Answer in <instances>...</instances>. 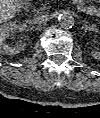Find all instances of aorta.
I'll use <instances>...</instances> for the list:
<instances>
[{
	"label": "aorta",
	"mask_w": 100,
	"mask_h": 118,
	"mask_svg": "<svg viewBox=\"0 0 100 118\" xmlns=\"http://www.w3.org/2000/svg\"><path fill=\"white\" fill-rule=\"evenodd\" d=\"M59 24L62 28H65V29H69V28H72L74 26V23H75V19L74 17L65 12V13H62L60 16H59Z\"/></svg>",
	"instance_id": "1"
}]
</instances>
